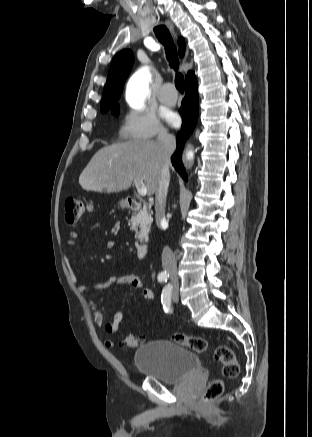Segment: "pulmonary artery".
<instances>
[{
	"mask_svg": "<svg viewBox=\"0 0 312 437\" xmlns=\"http://www.w3.org/2000/svg\"><path fill=\"white\" fill-rule=\"evenodd\" d=\"M173 86L170 83L164 84L158 94V99L161 103L172 106L177 101V93L173 91Z\"/></svg>",
	"mask_w": 312,
	"mask_h": 437,
	"instance_id": "obj_1",
	"label": "pulmonary artery"
}]
</instances>
